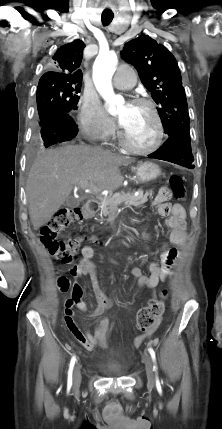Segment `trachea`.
Segmentation results:
<instances>
[{
  "label": "trachea",
  "mask_w": 222,
  "mask_h": 429,
  "mask_svg": "<svg viewBox=\"0 0 222 429\" xmlns=\"http://www.w3.org/2000/svg\"><path fill=\"white\" fill-rule=\"evenodd\" d=\"M101 18H102V23H103V25H104V26H107V25H109V24L111 23V21L113 20V18H114V14H113L112 12L104 11V12L102 13Z\"/></svg>",
  "instance_id": "trachea-1"
}]
</instances>
